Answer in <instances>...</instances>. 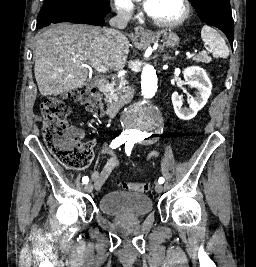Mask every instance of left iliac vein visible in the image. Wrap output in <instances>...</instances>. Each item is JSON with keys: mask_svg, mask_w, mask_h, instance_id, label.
<instances>
[{"mask_svg": "<svg viewBox=\"0 0 256 267\" xmlns=\"http://www.w3.org/2000/svg\"><path fill=\"white\" fill-rule=\"evenodd\" d=\"M155 190H156L157 193H161V192H163V186H162V184L157 183V184L155 185Z\"/></svg>", "mask_w": 256, "mask_h": 267, "instance_id": "left-iliac-vein-1", "label": "left iliac vein"}]
</instances>
